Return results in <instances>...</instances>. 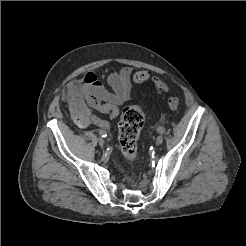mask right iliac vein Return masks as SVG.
Returning a JSON list of instances; mask_svg holds the SVG:
<instances>
[{
  "instance_id": "obj_1",
  "label": "right iliac vein",
  "mask_w": 246,
  "mask_h": 246,
  "mask_svg": "<svg viewBox=\"0 0 246 246\" xmlns=\"http://www.w3.org/2000/svg\"><path fill=\"white\" fill-rule=\"evenodd\" d=\"M98 143H99V145H100L101 147H103L104 144H105V141H104L102 138H99V139H98Z\"/></svg>"
}]
</instances>
